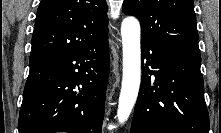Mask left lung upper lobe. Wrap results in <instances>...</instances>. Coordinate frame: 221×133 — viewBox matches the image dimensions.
Instances as JSON below:
<instances>
[{
  "instance_id": "5c2ea615",
  "label": "left lung upper lobe",
  "mask_w": 221,
  "mask_h": 133,
  "mask_svg": "<svg viewBox=\"0 0 221 133\" xmlns=\"http://www.w3.org/2000/svg\"><path fill=\"white\" fill-rule=\"evenodd\" d=\"M123 12L141 23V39L200 53L192 0H124Z\"/></svg>"
}]
</instances>
